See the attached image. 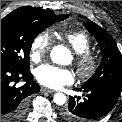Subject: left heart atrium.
Segmentation results:
<instances>
[{
	"instance_id": "1",
	"label": "left heart atrium",
	"mask_w": 122,
	"mask_h": 122,
	"mask_svg": "<svg viewBox=\"0 0 122 122\" xmlns=\"http://www.w3.org/2000/svg\"><path fill=\"white\" fill-rule=\"evenodd\" d=\"M37 81L45 87L59 89L74 81L73 73L65 68L43 64L35 71Z\"/></svg>"
}]
</instances>
